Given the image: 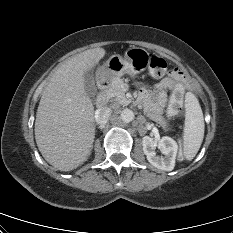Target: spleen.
Segmentation results:
<instances>
[{
  "label": "spleen",
  "instance_id": "3e777b00",
  "mask_svg": "<svg viewBox=\"0 0 233 233\" xmlns=\"http://www.w3.org/2000/svg\"><path fill=\"white\" fill-rule=\"evenodd\" d=\"M186 118L183 134V155L191 161L197 154L204 138V118L198 99L192 93L186 94Z\"/></svg>",
  "mask_w": 233,
  "mask_h": 233
}]
</instances>
